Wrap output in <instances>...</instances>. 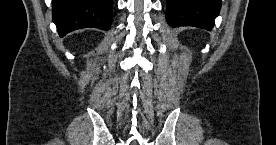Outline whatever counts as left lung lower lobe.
Masks as SVG:
<instances>
[{
  "label": "left lung lower lobe",
  "instance_id": "obj_1",
  "mask_svg": "<svg viewBox=\"0 0 276 145\" xmlns=\"http://www.w3.org/2000/svg\"><path fill=\"white\" fill-rule=\"evenodd\" d=\"M221 0H167L166 19L170 26H194L211 30Z\"/></svg>",
  "mask_w": 276,
  "mask_h": 145
}]
</instances>
